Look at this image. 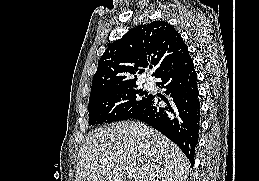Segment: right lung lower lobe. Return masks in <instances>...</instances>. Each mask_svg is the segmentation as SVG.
<instances>
[{"label":"right lung lower lobe","mask_w":259,"mask_h":181,"mask_svg":"<svg viewBox=\"0 0 259 181\" xmlns=\"http://www.w3.org/2000/svg\"><path fill=\"white\" fill-rule=\"evenodd\" d=\"M156 78L165 88L170 99L161 98L167 106L159 107L160 99L150 95L146 105L132 119L143 121L154 127L176 143L193 165L198 141L200 102L198 99L197 74L187 52L164 69Z\"/></svg>","instance_id":"obj_1"}]
</instances>
